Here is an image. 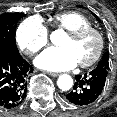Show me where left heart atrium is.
I'll return each mask as SVG.
<instances>
[{
	"mask_svg": "<svg viewBox=\"0 0 117 117\" xmlns=\"http://www.w3.org/2000/svg\"><path fill=\"white\" fill-rule=\"evenodd\" d=\"M38 68L48 71H63L74 68L78 60L68 47H51L41 53L34 61Z\"/></svg>",
	"mask_w": 117,
	"mask_h": 117,
	"instance_id": "39dd6f15",
	"label": "left heart atrium"
}]
</instances>
